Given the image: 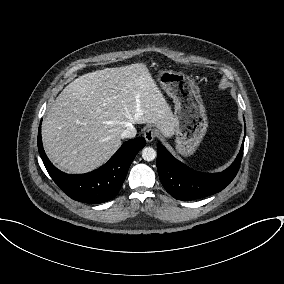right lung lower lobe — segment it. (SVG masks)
Returning <instances> with one entry per match:
<instances>
[{
	"label": "right lung lower lobe",
	"instance_id": "1",
	"mask_svg": "<svg viewBox=\"0 0 284 284\" xmlns=\"http://www.w3.org/2000/svg\"><path fill=\"white\" fill-rule=\"evenodd\" d=\"M146 145L144 138L124 143L102 167L86 174L71 175L58 170L47 158L38 131L40 157L53 181L72 199L98 204L107 202L120 190L136 154Z\"/></svg>",
	"mask_w": 284,
	"mask_h": 284
}]
</instances>
